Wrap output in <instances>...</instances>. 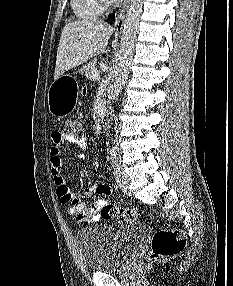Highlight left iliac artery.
Masks as SVG:
<instances>
[{
    "instance_id": "obj_1",
    "label": "left iliac artery",
    "mask_w": 233,
    "mask_h": 286,
    "mask_svg": "<svg viewBox=\"0 0 233 286\" xmlns=\"http://www.w3.org/2000/svg\"><path fill=\"white\" fill-rule=\"evenodd\" d=\"M110 155H111L110 159H111L112 167L115 170L119 169V161H118L117 153L114 148H111Z\"/></svg>"
}]
</instances>
